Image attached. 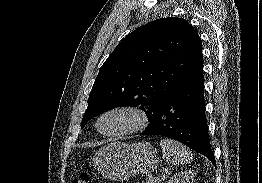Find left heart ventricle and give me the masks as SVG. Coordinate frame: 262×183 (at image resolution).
Here are the masks:
<instances>
[{"label": "left heart ventricle", "instance_id": "obj_1", "mask_svg": "<svg viewBox=\"0 0 262 183\" xmlns=\"http://www.w3.org/2000/svg\"><path fill=\"white\" fill-rule=\"evenodd\" d=\"M134 122V117L127 112H114L106 115L100 128L105 133H115L130 127Z\"/></svg>", "mask_w": 262, "mask_h": 183}]
</instances>
